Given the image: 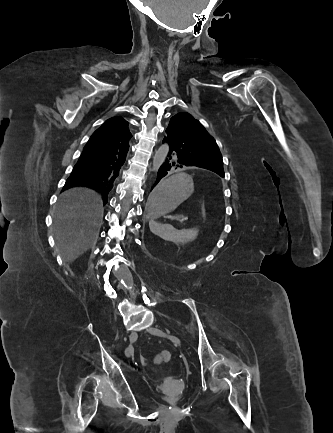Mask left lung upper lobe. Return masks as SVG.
Here are the masks:
<instances>
[{
  "instance_id": "left-lung-upper-lobe-1",
  "label": "left lung upper lobe",
  "mask_w": 333,
  "mask_h": 433,
  "mask_svg": "<svg viewBox=\"0 0 333 433\" xmlns=\"http://www.w3.org/2000/svg\"><path fill=\"white\" fill-rule=\"evenodd\" d=\"M169 147L181 160L224 177L223 160L215 140L192 115H174L167 128Z\"/></svg>"
}]
</instances>
